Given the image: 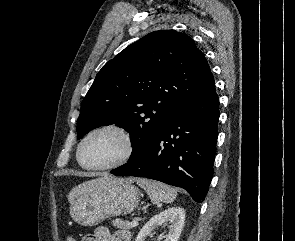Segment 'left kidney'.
Masks as SVG:
<instances>
[{
    "instance_id": "5707ae66",
    "label": "left kidney",
    "mask_w": 295,
    "mask_h": 241,
    "mask_svg": "<svg viewBox=\"0 0 295 241\" xmlns=\"http://www.w3.org/2000/svg\"><path fill=\"white\" fill-rule=\"evenodd\" d=\"M185 221V210L180 207H172L153 216L140 230L135 241H144L151 232L162 224L168 227L164 241H178Z\"/></svg>"
}]
</instances>
